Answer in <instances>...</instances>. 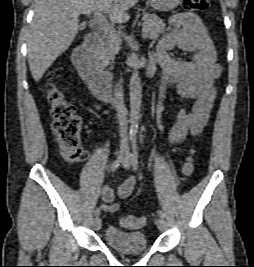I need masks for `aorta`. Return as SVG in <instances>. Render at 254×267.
<instances>
[{
  "label": "aorta",
  "mask_w": 254,
  "mask_h": 267,
  "mask_svg": "<svg viewBox=\"0 0 254 267\" xmlns=\"http://www.w3.org/2000/svg\"><path fill=\"white\" fill-rule=\"evenodd\" d=\"M142 103V88L139 72L134 70L130 79V138L136 139L139 126V113Z\"/></svg>",
  "instance_id": "762f6f07"
}]
</instances>
